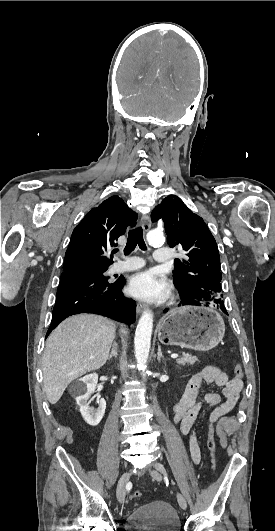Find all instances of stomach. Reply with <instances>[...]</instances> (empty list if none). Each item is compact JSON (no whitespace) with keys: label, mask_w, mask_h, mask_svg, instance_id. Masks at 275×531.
Wrapping results in <instances>:
<instances>
[{"label":"stomach","mask_w":275,"mask_h":531,"mask_svg":"<svg viewBox=\"0 0 275 531\" xmlns=\"http://www.w3.org/2000/svg\"><path fill=\"white\" fill-rule=\"evenodd\" d=\"M157 329L162 345L193 351L214 349L225 333L220 313L210 307H201L199 301H188L186 307L171 311L160 319Z\"/></svg>","instance_id":"obj_1"}]
</instances>
